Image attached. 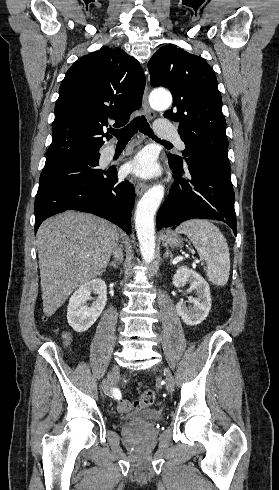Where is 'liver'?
<instances>
[{"label":"liver","mask_w":279,"mask_h":490,"mask_svg":"<svg viewBox=\"0 0 279 490\" xmlns=\"http://www.w3.org/2000/svg\"><path fill=\"white\" fill-rule=\"evenodd\" d=\"M125 236L107 220L74 210L45 220L36 236L45 316H53L81 284L101 276Z\"/></svg>","instance_id":"liver-1"}]
</instances>
